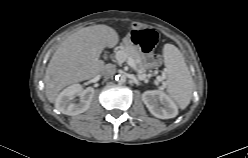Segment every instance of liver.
I'll list each match as a JSON object with an SVG mask.
<instances>
[{
	"label": "liver",
	"instance_id": "6515ba94",
	"mask_svg": "<svg viewBox=\"0 0 248 158\" xmlns=\"http://www.w3.org/2000/svg\"><path fill=\"white\" fill-rule=\"evenodd\" d=\"M119 42L118 33L107 25L89 26L70 34L53 54L44 76L47 99L55 103L66 86L88 80L103 71L100 54Z\"/></svg>",
	"mask_w": 248,
	"mask_h": 158
}]
</instances>
